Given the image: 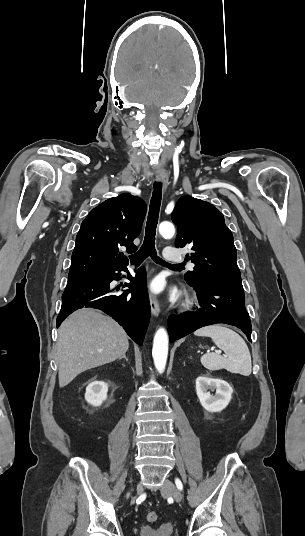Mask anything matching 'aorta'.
I'll use <instances>...</instances> for the list:
<instances>
[{"mask_svg":"<svg viewBox=\"0 0 305 536\" xmlns=\"http://www.w3.org/2000/svg\"><path fill=\"white\" fill-rule=\"evenodd\" d=\"M159 233L164 238H171L175 234V227L170 222H162L159 225ZM152 356L158 372H164L168 356V335L164 328H159L155 333Z\"/></svg>","mask_w":305,"mask_h":536,"instance_id":"aorta-1","label":"aorta"}]
</instances>
